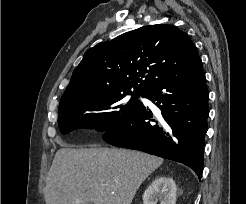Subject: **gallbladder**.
Returning <instances> with one entry per match:
<instances>
[{
  "instance_id": "gallbladder-1",
  "label": "gallbladder",
  "mask_w": 246,
  "mask_h": 204,
  "mask_svg": "<svg viewBox=\"0 0 246 204\" xmlns=\"http://www.w3.org/2000/svg\"><path fill=\"white\" fill-rule=\"evenodd\" d=\"M84 204H91V203H89V202H85Z\"/></svg>"
}]
</instances>
